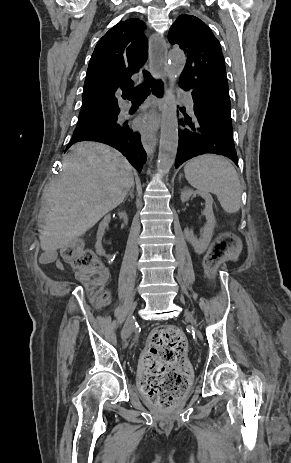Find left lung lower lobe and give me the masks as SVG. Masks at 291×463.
Wrapping results in <instances>:
<instances>
[{"mask_svg":"<svg viewBox=\"0 0 291 463\" xmlns=\"http://www.w3.org/2000/svg\"><path fill=\"white\" fill-rule=\"evenodd\" d=\"M178 152L175 167L203 154L226 156L238 166L232 136V122L210 115L194 104V117L180 119Z\"/></svg>","mask_w":291,"mask_h":463,"instance_id":"0a47b994","label":"left lung lower lobe"}]
</instances>
